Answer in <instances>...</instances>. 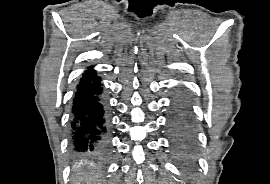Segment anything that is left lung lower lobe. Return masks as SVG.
I'll return each mask as SVG.
<instances>
[{
  "mask_svg": "<svg viewBox=\"0 0 270 184\" xmlns=\"http://www.w3.org/2000/svg\"><path fill=\"white\" fill-rule=\"evenodd\" d=\"M168 130L175 155L192 159L196 155V130L189 103L183 95L174 101Z\"/></svg>",
  "mask_w": 270,
  "mask_h": 184,
  "instance_id": "left-lung-lower-lobe-1",
  "label": "left lung lower lobe"
}]
</instances>
